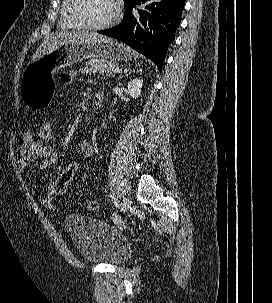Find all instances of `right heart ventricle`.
I'll list each match as a JSON object with an SVG mask.
<instances>
[{
	"instance_id": "1",
	"label": "right heart ventricle",
	"mask_w": 272,
	"mask_h": 303,
	"mask_svg": "<svg viewBox=\"0 0 272 303\" xmlns=\"http://www.w3.org/2000/svg\"><path fill=\"white\" fill-rule=\"evenodd\" d=\"M69 5L70 0H63L60 11L59 26L63 29H77L79 26L71 21L68 16Z\"/></svg>"
}]
</instances>
